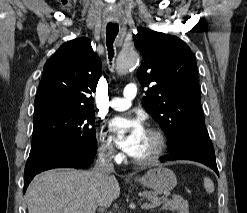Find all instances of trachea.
Here are the masks:
<instances>
[{"label": "trachea", "instance_id": "trachea-1", "mask_svg": "<svg viewBox=\"0 0 247 213\" xmlns=\"http://www.w3.org/2000/svg\"><path fill=\"white\" fill-rule=\"evenodd\" d=\"M119 26L117 24H107L106 44L108 48L109 58L112 59L114 55L113 42L118 34Z\"/></svg>", "mask_w": 247, "mask_h": 213}]
</instances>
